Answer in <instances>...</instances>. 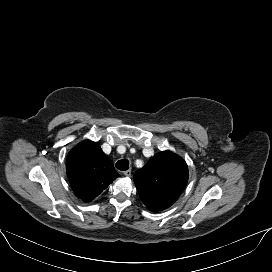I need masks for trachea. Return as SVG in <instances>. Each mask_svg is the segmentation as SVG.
<instances>
[{"label":"trachea","instance_id":"obj_1","mask_svg":"<svg viewBox=\"0 0 272 272\" xmlns=\"http://www.w3.org/2000/svg\"><path fill=\"white\" fill-rule=\"evenodd\" d=\"M115 166L121 171H126L129 168V161L126 159L119 160Z\"/></svg>","mask_w":272,"mask_h":272}]
</instances>
